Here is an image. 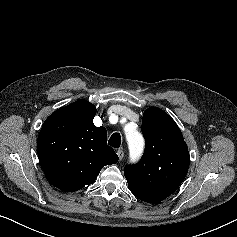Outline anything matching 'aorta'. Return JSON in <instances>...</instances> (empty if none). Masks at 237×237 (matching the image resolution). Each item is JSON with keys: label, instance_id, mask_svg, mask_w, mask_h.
Wrapping results in <instances>:
<instances>
[{"label": "aorta", "instance_id": "762f6f07", "mask_svg": "<svg viewBox=\"0 0 237 237\" xmlns=\"http://www.w3.org/2000/svg\"><path fill=\"white\" fill-rule=\"evenodd\" d=\"M126 139L129 146L130 155L133 158L138 157L143 150V137L136 129H126Z\"/></svg>", "mask_w": 237, "mask_h": 237}]
</instances>
